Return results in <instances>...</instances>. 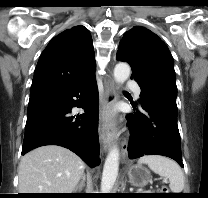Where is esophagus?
Instances as JSON below:
<instances>
[{"label": "esophagus", "instance_id": "1", "mask_svg": "<svg viewBox=\"0 0 208 198\" xmlns=\"http://www.w3.org/2000/svg\"><path fill=\"white\" fill-rule=\"evenodd\" d=\"M117 100V88L111 77L105 83L104 102L100 110V140L103 150L107 152L114 141L115 131L113 127L112 113Z\"/></svg>", "mask_w": 208, "mask_h": 198}]
</instances>
